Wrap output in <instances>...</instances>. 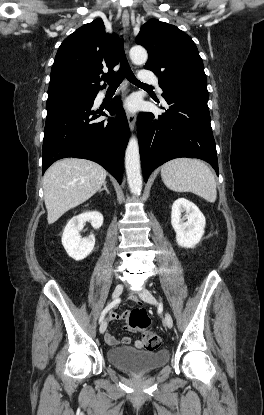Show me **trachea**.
I'll list each match as a JSON object with an SVG mask.
<instances>
[{"label": "trachea", "mask_w": 264, "mask_h": 415, "mask_svg": "<svg viewBox=\"0 0 264 415\" xmlns=\"http://www.w3.org/2000/svg\"><path fill=\"white\" fill-rule=\"evenodd\" d=\"M119 61H120V68L118 72L111 78L106 79V82L108 83L109 87L119 86L124 78H126L129 82L135 85L143 86V87H151L150 85L140 82L133 74L129 66V63L127 61L122 42L120 45Z\"/></svg>", "instance_id": "trachea-1"}]
</instances>
